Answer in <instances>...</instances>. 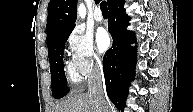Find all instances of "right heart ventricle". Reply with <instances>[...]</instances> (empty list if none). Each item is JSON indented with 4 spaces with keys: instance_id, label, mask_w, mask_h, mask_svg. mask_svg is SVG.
<instances>
[{
    "instance_id": "e07e8e85",
    "label": "right heart ventricle",
    "mask_w": 193,
    "mask_h": 112,
    "mask_svg": "<svg viewBox=\"0 0 193 112\" xmlns=\"http://www.w3.org/2000/svg\"><path fill=\"white\" fill-rule=\"evenodd\" d=\"M66 76L71 83H77L80 80L79 75L74 71L71 65H68L66 68Z\"/></svg>"
}]
</instances>
